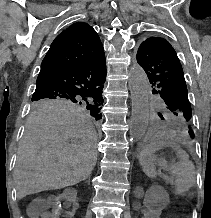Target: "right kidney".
<instances>
[{"mask_svg":"<svg viewBox=\"0 0 211 218\" xmlns=\"http://www.w3.org/2000/svg\"><path fill=\"white\" fill-rule=\"evenodd\" d=\"M77 190H65L63 193H57V197H48L51 202L52 218H67L71 214V209H64V206H70V202H76Z\"/></svg>","mask_w":211,"mask_h":218,"instance_id":"ca27d5eb","label":"right kidney"}]
</instances>
